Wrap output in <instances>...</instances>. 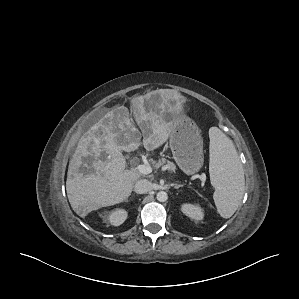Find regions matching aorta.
Wrapping results in <instances>:
<instances>
[{
    "label": "aorta",
    "mask_w": 299,
    "mask_h": 299,
    "mask_svg": "<svg viewBox=\"0 0 299 299\" xmlns=\"http://www.w3.org/2000/svg\"><path fill=\"white\" fill-rule=\"evenodd\" d=\"M156 198L159 202H165L168 199V195L165 191H159Z\"/></svg>",
    "instance_id": "obj_1"
}]
</instances>
